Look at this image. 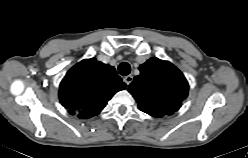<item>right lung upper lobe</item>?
I'll list each match as a JSON object with an SVG mask.
<instances>
[{
	"label": "right lung upper lobe",
	"instance_id": "right-lung-upper-lobe-1",
	"mask_svg": "<svg viewBox=\"0 0 248 158\" xmlns=\"http://www.w3.org/2000/svg\"><path fill=\"white\" fill-rule=\"evenodd\" d=\"M125 88L114 67L91 58L67 72L60 84L59 99L71 114L87 119L98 115L112 96Z\"/></svg>",
	"mask_w": 248,
	"mask_h": 158
}]
</instances>
